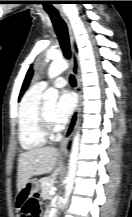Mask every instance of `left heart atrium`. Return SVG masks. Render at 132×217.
Listing matches in <instances>:
<instances>
[{
	"mask_svg": "<svg viewBox=\"0 0 132 217\" xmlns=\"http://www.w3.org/2000/svg\"><path fill=\"white\" fill-rule=\"evenodd\" d=\"M76 99L73 93L63 91L59 96L52 118L58 124L66 123L74 112Z\"/></svg>",
	"mask_w": 132,
	"mask_h": 217,
	"instance_id": "left-heart-atrium-1",
	"label": "left heart atrium"
}]
</instances>
